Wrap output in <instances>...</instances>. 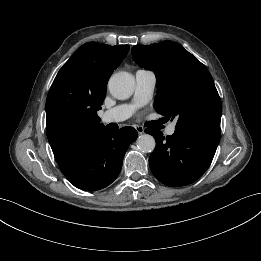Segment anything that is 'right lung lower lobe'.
<instances>
[{
  "label": "right lung lower lobe",
  "mask_w": 261,
  "mask_h": 261,
  "mask_svg": "<svg viewBox=\"0 0 261 261\" xmlns=\"http://www.w3.org/2000/svg\"><path fill=\"white\" fill-rule=\"evenodd\" d=\"M136 138L137 131L132 127H123L116 132L103 130L87 152L63 174L79 189H103L119 175L125 152Z\"/></svg>",
  "instance_id": "right-lung-lower-lobe-1"
}]
</instances>
